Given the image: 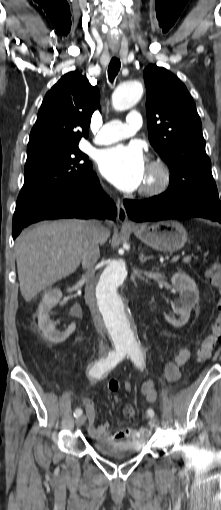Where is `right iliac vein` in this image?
<instances>
[{
	"label": "right iliac vein",
	"mask_w": 221,
	"mask_h": 510,
	"mask_svg": "<svg viewBox=\"0 0 221 510\" xmlns=\"http://www.w3.org/2000/svg\"><path fill=\"white\" fill-rule=\"evenodd\" d=\"M86 421V416L85 415H80L76 418V425L77 426H82Z\"/></svg>",
	"instance_id": "63e3f726"
}]
</instances>
